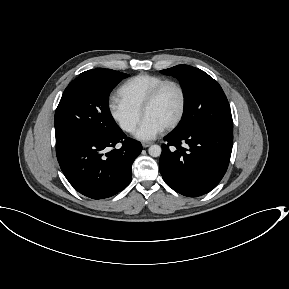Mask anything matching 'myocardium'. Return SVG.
<instances>
[{
	"label": "myocardium",
	"mask_w": 289,
	"mask_h": 289,
	"mask_svg": "<svg viewBox=\"0 0 289 289\" xmlns=\"http://www.w3.org/2000/svg\"><path fill=\"white\" fill-rule=\"evenodd\" d=\"M168 85H173L178 89L180 96H181V104H180V109H179V112H178L176 118L169 125H167L164 128V130H166V131H170V130L175 129L181 123V121L185 115V112H186L187 94H186L185 88L183 87V85L181 83H179L178 81H175V80L162 81L161 83L156 85L150 91V93L146 97V99L142 105V108H141V114L144 117L146 111L154 104V102L158 98L161 91Z\"/></svg>",
	"instance_id": "obj_1"
}]
</instances>
